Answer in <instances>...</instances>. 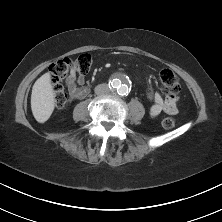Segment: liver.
Segmentation results:
<instances>
[{"label":"liver","mask_w":222,"mask_h":222,"mask_svg":"<svg viewBox=\"0 0 222 222\" xmlns=\"http://www.w3.org/2000/svg\"><path fill=\"white\" fill-rule=\"evenodd\" d=\"M55 107L54 92L49 73L43 74L32 87L31 109L34 118L39 123L46 122Z\"/></svg>","instance_id":"obj_1"}]
</instances>
